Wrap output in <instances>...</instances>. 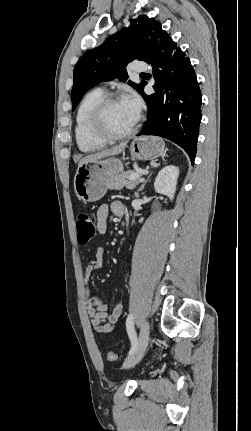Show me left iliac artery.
<instances>
[{"instance_id": "44dca946", "label": "left iliac artery", "mask_w": 251, "mask_h": 431, "mask_svg": "<svg viewBox=\"0 0 251 431\" xmlns=\"http://www.w3.org/2000/svg\"><path fill=\"white\" fill-rule=\"evenodd\" d=\"M126 329L131 340V349L129 351V355H131L138 344L137 335L134 329V315L132 313H130L126 319Z\"/></svg>"}]
</instances>
